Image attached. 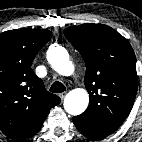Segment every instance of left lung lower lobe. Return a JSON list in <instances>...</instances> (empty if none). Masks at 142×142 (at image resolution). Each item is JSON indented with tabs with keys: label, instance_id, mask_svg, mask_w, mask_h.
Masks as SVG:
<instances>
[{
	"label": "left lung lower lobe",
	"instance_id": "0a47b994",
	"mask_svg": "<svg viewBox=\"0 0 142 142\" xmlns=\"http://www.w3.org/2000/svg\"><path fill=\"white\" fill-rule=\"evenodd\" d=\"M75 126L77 127V129L79 130V132L84 135L85 137L89 138L90 140H100L102 139L101 137H99L98 135H96L95 133L89 131L84 125H82L81 123H79L78 121L73 120Z\"/></svg>",
	"mask_w": 142,
	"mask_h": 142
}]
</instances>
